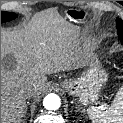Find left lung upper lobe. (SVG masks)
Segmentation results:
<instances>
[{
    "label": "left lung upper lobe",
    "instance_id": "5c2ea615",
    "mask_svg": "<svg viewBox=\"0 0 123 123\" xmlns=\"http://www.w3.org/2000/svg\"><path fill=\"white\" fill-rule=\"evenodd\" d=\"M116 24H117V34L123 43V21L119 18H116Z\"/></svg>",
    "mask_w": 123,
    "mask_h": 123
}]
</instances>
